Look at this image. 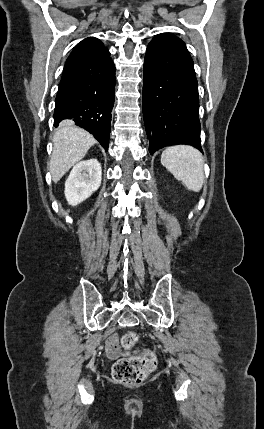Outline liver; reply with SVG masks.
Segmentation results:
<instances>
[{
  "label": "liver",
  "instance_id": "liver-1",
  "mask_svg": "<svg viewBox=\"0 0 264 429\" xmlns=\"http://www.w3.org/2000/svg\"><path fill=\"white\" fill-rule=\"evenodd\" d=\"M96 143L86 130L74 126L71 121H64L53 136V152L49 170L52 180L58 182L66 172L80 161Z\"/></svg>",
  "mask_w": 264,
  "mask_h": 429
}]
</instances>
